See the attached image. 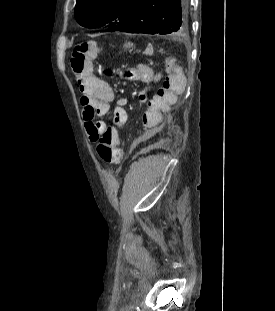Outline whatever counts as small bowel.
Here are the masks:
<instances>
[{
  "label": "small bowel",
  "instance_id": "obj_1",
  "mask_svg": "<svg viewBox=\"0 0 275 311\" xmlns=\"http://www.w3.org/2000/svg\"><path fill=\"white\" fill-rule=\"evenodd\" d=\"M179 56H164L162 69L164 73H156L153 65H145L144 60H135L134 66L129 75L132 80H150V87H157V92H150L147 97L145 92L139 97L140 103H147L143 106V112L139 115L140 128L145 132L154 129L162 121L166 112H173L178 107L179 98H185L188 80L183 69H180ZM77 84L84 93L81 98L83 105V118L85 129L89 139L109 128L103 121H95V117L104 116L112 111V127L119 132L124 130L127 121L125 98L115 99L110 84L92 73H87L77 78ZM150 91L149 87L145 88ZM135 138L138 143H145L147 138L143 132H136Z\"/></svg>",
  "mask_w": 275,
  "mask_h": 311
}]
</instances>
